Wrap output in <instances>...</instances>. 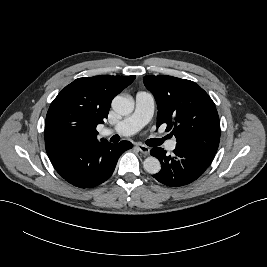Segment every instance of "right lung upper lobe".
Returning a JSON list of instances; mask_svg holds the SVG:
<instances>
[{
	"label": "right lung upper lobe",
	"instance_id": "1",
	"mask_svg": "<svg viewBox=\"0 0 267 267\" xmlns=\"http://www.w3.org/2000/svg\"><path fill=\"white\" fill-rule=\"evenodd\" d=\"M135 77L101 75L78 78L67 85L47 112L45 145L98 141L96 126L107 118L113 98Z\"/></svg>",
	"mask_w": 267,
	"mask_h": 267
}]
</instances>
